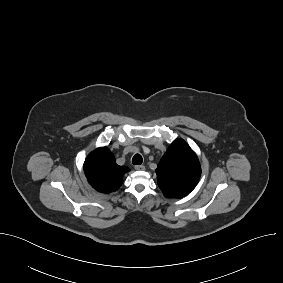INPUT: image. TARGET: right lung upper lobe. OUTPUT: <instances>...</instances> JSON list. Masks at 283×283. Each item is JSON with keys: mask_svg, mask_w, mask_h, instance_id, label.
Instances as JSON below:
<instances>
[{"mask_svg": "<svg viewBox=\"0 0 283 283\" xmlns=\"http://www.w3.org/2000/svg\"><path fill=\"white\" fill-rule=\"evenodd\" d=\"M127 166L116 164L115 157L107 147H101L89 154L84 162V172L90 185L99 192L116 191L123 182Z\"/></svg>", "mask_w": 283, "mask_h": 283, "instance_id": "obj_1", "label": "right lung upper lobe"}]
</instances>
